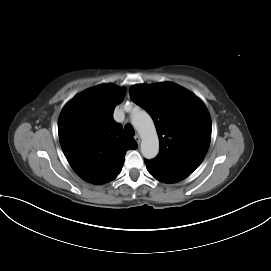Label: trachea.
<instances>
[{
	"mask_svg": "<svg viewBox=\"0 0 271 271\" xmlns=\"http://www.w3.org/2000/svg\"><path fill=\"white\" fill-rule=\"evenodd\" d=\"M124 131L127 135L129 136H134L135 134V131H134V128L132 127V125L130 124H127L125 127H124Z\"/></svg>",
	"mask_w": 271,
	"mask_h": 271,
	"instance_id": "3493384b",
	"label": "trachea"
}]
</instances>
